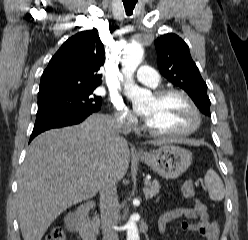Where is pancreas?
<instances>
[{"mask_svg":"<svg viewBox=\"0 0 248 240\" xmlns=\"http://www.w3.org/2000/svg\"><path fill=\"white\" fill-rule=\"evenodd\" d=\"M159 189L160 186L158 181L155 180L152 183L150 181H145V188L143 189V191L147 198L152 199L159 193Z\"/></svg>","mask_w":248,"mask_h":240,"instance_id":"pancreas-1","label":"pancreas"}]
</instances>
